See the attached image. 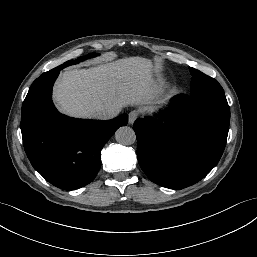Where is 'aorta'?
Returning <instances> with one entry per match:
<instances>
[{
	"mask_svg": "<svg viewBox=\"0 0 257 257\" xmlns=\"http://www.w3.org/2000/svg\"><path fill=\"white\" fill-rule=\"evenodd\" d=\"M115 139L120 144L131 145L135 143L136 135L132 128L123 126L115 132Z\"/></svg>",
	"mask_w": 257,
	"mask_h": 257,
	"instance_id": "762f6f07",
	"label": "aorta"
}]
</instances>
